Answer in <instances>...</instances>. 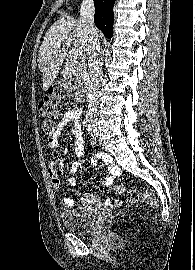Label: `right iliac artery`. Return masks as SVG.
Segmentation results:
<instances>
[{"label":"right iliac artery","mask_w":195,"mask_h":270,"mask_svg":"<svg viewBox=\"0 0 195 270\" xmlns=\"http://www.w3.org/2000/svg\"><path fill=\"white\" fill-rule=\"evenodd\" d=\"M90 143H91V145H94L93 139H90Z\"/></svg>","instance_id":"1"}]
</instances>
